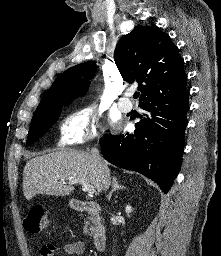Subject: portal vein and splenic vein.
Instances as JSON below:
<instances>
[{
    "label": "portal vein and splenic vein",
    "instance_id": "1",
    "mask_svg": "<svg viewBox=\"0 0 221 256\" xmlns=\"http://www.w3.org/2000/svg\"><path fill=\"white\" fill-rule=\"evenodd\" d=\"M69 184H81L83 188L88 192V194L92 195L96 192L95 187L84 181L83 179H72L68 182Z\"/></svg>",
    "mask_w": 221,
    "mask_h": 256
}]
</instances>
